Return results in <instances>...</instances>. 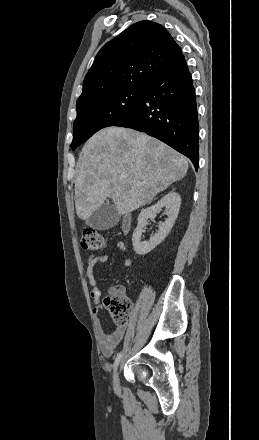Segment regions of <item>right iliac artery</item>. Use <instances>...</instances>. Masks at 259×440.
Masks as SVG:
<instances>
[{"label": "right iliac artery", "mask_w": 259, "mask_h": 440, "mask_svg": "<svg viewBox=\"0 0 259 440\" xmlns=\"http://www.w3.org/2000/svg\"><path fill=\"white\" fill-rule=\"evenodd\" d=\"M121 356H122L121 352L117 354V357H116V359L114 361V371L117 369V366H118V364L120 362Z\"/></svg>", "instance_id": "82829eb1"}]
</instances>
